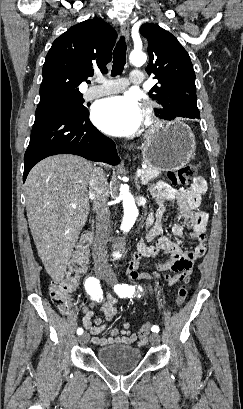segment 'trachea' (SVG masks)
Here are the masks:
<instances>
[{
    "mask_svg": "<svg viewBox=\"0 0 243 409\" xmlns=\"http://www.w3.org/2000/svg\"><path fill=\"white\" fill-rule=\"evenodd\" d=\"M126 63V44L124 36L120 37L113 52L112 76L122 73Z\"/></svg>",
    "mask_w": 243,
    "mask_h": 409,
    "instance_id": "obj_1",
    "label": "trachea"
}]
</instances>
